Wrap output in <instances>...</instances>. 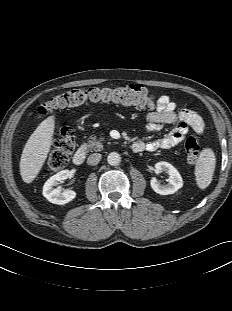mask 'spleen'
<instances>
[{
    "label": "spleen",
    "mask_w": 232,
    "mask_h": 311,
    "mask_svg": "<svg viewBox=\"0 0 232 311\" xmlns=\"http://www.w3.org/2000/svg\"><path fill=\"white\" fill-rule=\"evenodd\" d=\"M215 165L216 158L214 152L209 148L203 149L195 166L196 183L200 189H205L210 185Z\"/></svg>",
    "instance_id": "spleen-1"
}]
</instances>
